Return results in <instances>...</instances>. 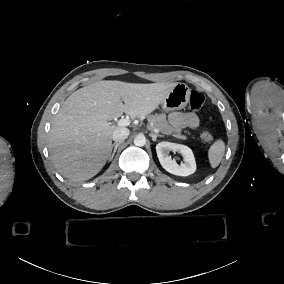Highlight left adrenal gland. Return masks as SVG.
Wrapping results in <instances>:
<instances>
[{
	"instance_id": "left-adrenal-gland-1",
	"label": "left adrenal gland",
	"mask_w": 284,
	"mask_h": 284,
	"mask_svg": "<svg viewBox=\"0 0 284 284\" xmlns=\"http://www.w3.org/2000/svg\"><path fill=\"white\" fill-rule=\"evenodd\" d=\"M150 137H152L153 141L157 140V137H164V135L161 134H155L153 130H151V133L149 134Z\"/></svg>"
}]
</instances>
